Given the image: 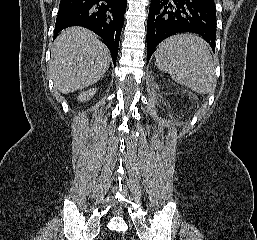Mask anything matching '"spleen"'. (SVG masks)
<instances>
[{"instance_id": "1", "label": "spleen", "mask_w": 257, "mask_h": 240, "mask_svg": "<svg viewBox=\"0 0 257 240\" xmlns=\"http://www.w3.org/2000/svg\"><path fill=\"white\" fill-rule=\"evenodd\" d=\"M158 68L199 94L216 86L215 64L205 41L197 35L178 34L164 40L155 51Z\"/></svg>"}]
</instances>
